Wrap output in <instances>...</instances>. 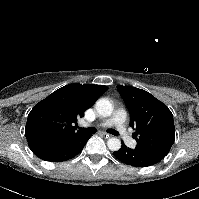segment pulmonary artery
<instances>
[{"label":"pulmonary artery","mask_w":199,"mask_h":199,"mask_svg":"<svg viewBox=\"0 0 199 199\" xmlns=\"http://www.w3.org/2000/svg\"><path fill=\"white\" fill-rule=\"evenodd\" d=\"M127 112L123 108H118L113 115L102 123V126H115L120 137L130 147L136 146V141L131 137L126 127Z\"/></svg>","instance_id":"obj_1"}]
</instances>
